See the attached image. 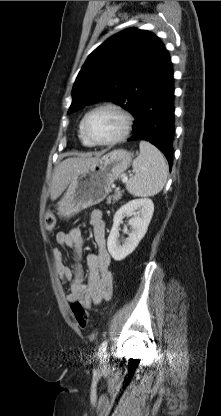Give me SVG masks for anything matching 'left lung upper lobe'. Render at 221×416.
<instances>
[{"label":"left lung upper lobe","mask_w":221,"mask_h":416,"mask_svg":"<svg viewBox=\"0 0 221 416\" xmlns=\"http://www.w3.org/2000/svg\"><path fill=\"white\" fill-rule=\"evenodd\" d=\"M165 51L159 38L144 30L130 28L110 37L80 70L68 113L109 100L135 115L140 99L157 77Z\"/></svg>","instance_id":"left-lung-upper-lobe-1"}]
</instances>
